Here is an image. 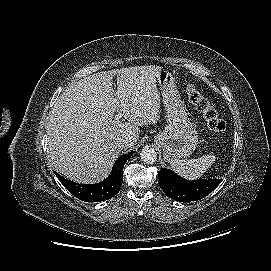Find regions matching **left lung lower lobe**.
Listing matches in <instances>:
<instances>
[{"label":"left lung lower lobe","mask_w":271,"mask_h":271,"mask_svg":"<svg viewBox=\"0 0 271 271\" xmlns=\"http://www.w3.org/2000/svg\"><path fill=\"white\" fill-rule=\"evenodd\" d=\"M158 183L168 197L180 202H190L209 195L218 187L221 180L201 179L190 181L170 169L163 168L158 172Z\"/></svg>","instance_id":"left-lung-lower-lobe-1"}]
</instances>
